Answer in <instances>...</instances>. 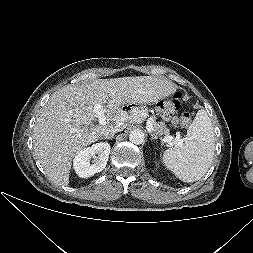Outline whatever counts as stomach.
<instances>
[{"instance_id":"0dacf381","label":"stomach","mask_w":253,"mask_h":253,"mask_svg":"<svg viewBox=\"0 0 253 253\" xmlns=\"http://www.w3.org/2000/svg\"><path fill=\"white\" fill-rule=\"evenodd\" d=\"M168 100L166 99H161L156 107V111L158 112V116L160 118H165L167 116V107L169 105ZM146 108V103L144 101H138V100H133L131 103L130 102H124L120 105V110L124 112L125 114H130L134 111L137 110H144Z\"/></svg>"}]
</instances>
